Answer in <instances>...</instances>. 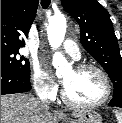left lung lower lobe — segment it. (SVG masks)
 <instances>
[{"label": "left lung lower lobe", "mask_w": 122, "mask_h": 123, "mask_svg": "<svg viewBox=\"0 0 122 123\" xmlns=\"http://www.w3.org/2000/svg\"><path fill=\"white\" fill-rule=\"evenodd\" d=\"M108 105L122 108V95L113 96L112 100L108 103Z\"/></svg>", "instance_id": "1"}]
</instances>
